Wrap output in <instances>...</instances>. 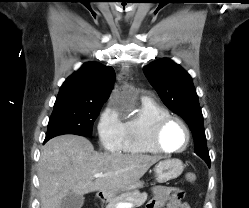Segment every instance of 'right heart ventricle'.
Here are the masks:
<instances>
[{
	"instance_id": "right-heart-ventricle-1",
	"label": "right heart ventricle",
	"mask_w": 249,
	"mask_h": 208,
	"mask_svg": "<svg viewBox=\"0 0 249 208\" xmlns=\"http://www.w3.org/2000/svg\"><path fill=\"white\" fill-rule=\"evenodd\" d=\"M167 115L170 112L165 107L150 99H142L137 112L123 125L121 151L132 155L158 153L150 142V135L155 123Z\"/></svg>"
}]
</instances>
